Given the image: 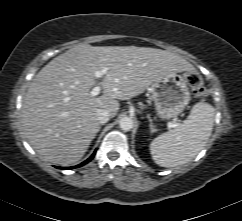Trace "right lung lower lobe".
Here are the masks:
<instances>
[{"label": "right lung lower lobe", "instance_id": "98d812e1", "mask_svg": "<svg viewBox=\"0 0 242 221\" xmlns=\"http://www.w3.org/2000/svg\"><path fill=\"white\" fill-rule=\"evenodd\" d=\"M95 156V152L91 155L90 158H88L86 161L82 162L81 164L77 165V166H73V167H57V168H62V169H73V168H77V167H81L85 164H87L88 162H90L93 157Z\"/></svg>", "mask_w": 242, "mask_h": 221}]
</instances>
